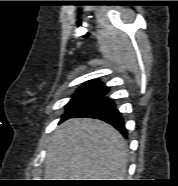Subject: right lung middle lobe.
I'll return each mask as SVG.
<instances>
[{
    "label": "right lung middle lobe",
    "mask_w": 178,
    "mask_h": 186,
    "mask_svg": "<svg viewBox=\"0 0 178 186\" xmlns=\"http://www.w3.org/2000/svg\"><path fill=\"white\" fill-rule=\"evenodd\" d=\"M107 92L108 87L103 85L80 87L79 90L73 95L70 102L66 105V113L62 116V119L77 112L79 109L101 97Z\"/></svg>",
    "instance_id": "dd1d6c3e"
}]
</instances>
